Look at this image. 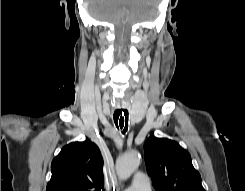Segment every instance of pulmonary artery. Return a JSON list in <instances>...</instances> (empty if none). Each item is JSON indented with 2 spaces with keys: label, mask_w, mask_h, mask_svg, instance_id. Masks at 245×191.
Segmentation results:
<instances>
[{
  "label": "pulmonary artery",
  "mask_w": 245,
  "mask_h": 191,
  "mask_svg": "<svg viewBox=\"0 0 245 191\" xmlns=\"http://www.w3.org/2000/svg\"><path fill=\"white\" fill-rule=\"evenodd\" d=\"M124 191H151V184L148 176L144 173H136L131 185Z\"/></svg>",
  "instance_id": "pulmonary-artery-1"
}]
</instances>
